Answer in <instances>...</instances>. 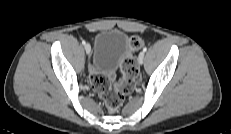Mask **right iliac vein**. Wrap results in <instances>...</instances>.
Wrapping results in <instances>:
<instances>
[{
	"mask_svg": "<svg viewBox=\"0 0 231 134\" xmlns=\"http://www.w3.org/2000/svg\"><path fill=\"white\" fill-rule=\"evenodd\" d=\"M84 48L86 53L89 55L91 53V46L89 44H85Z\"/></svg>",
	"mask_w": 231,
	"mask_h": 134,
	"instance_id": "obj_1",
	"label": "right iliac vein"
}]
</instances>
